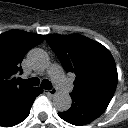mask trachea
<instances>
[{
  "label": "trachea",
  "instance_id": "obj_1",
  "mask_svg": "<svg viewBox=\"0 0 128 128\" xmlns=\"http://www.w3.org/2000/svg\"><path fill=\"white\" fill-rule=\"evenodd\" d=\"M20 82L29 86H38L40 80L37 77H33L27 80L21 79ZM41 86L45 90H50L52 88V84L49 80H43Z\"/></svg>",
  "mask_w": 128,
  "mask_h": 128
}]
</instances>
